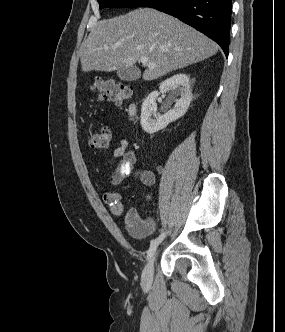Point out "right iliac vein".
I'll list each match as a JSON object with an SVG mask.
<instances>
[{"label":"right iliac vein","mask_w":285,"mask_h":332,"mask_svg":"<svg viewBox=\"0 0 285 332\" xmlns=\"http://www.w3.org/2000/svg\"><path fill=\"white\" fill-rule=\"evenodd\" d=\"M156 254L149 260V262L146 264V266L143 270V273H142L143 284H150L153 279L154 263L156 260Z\"/></svg>","instance_id":"63e3f726"}]
</instances>
